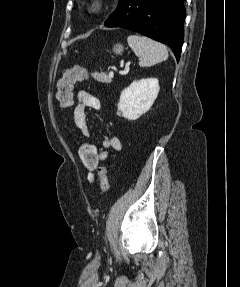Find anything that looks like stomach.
I'll return each instance as SVG.
<instances>
[{
    "label": "stomach",
    "mask_w": 240,
    "mask_h": 287,
    "mask_svg": "<svg viewBox=\"0 0 240 287\" xmlns=\"http://www.w3.org/2000/svg\"><path fill=\"white\" fill-rule=\"evenodd\" d=\"M113 51L114 53L116 54H121L122 51H123V46L121 44H116L114 47H113Z\"/></svg>",
    "instance_id": "obj_1"
}]
</instances>
